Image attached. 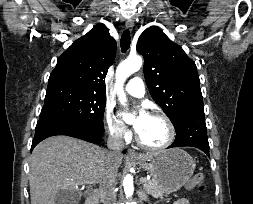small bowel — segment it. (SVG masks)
Here are the masks:
<instances>
[{"label": "small bowel", "instance_id": "obj_1", "mask_svg": "<svg viewBox=\"0 0 253 204\" xmlns=\"http://www.w3.org/2000/svg\"><path fill=\"white\" fill-rule=\"evenodd\" d=\"M175 204H190V202L187 199H180Z\"/></svg>", "mask_w": 253, "mask_h": 204}]
</instances>
